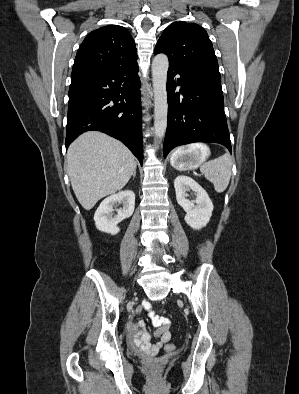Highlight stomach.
I'll list each match as a JSON object with an SVG mask.
<instances>
[{"instance_id": "0dacf381", "label": "stomach", "mask_w": 299, "mask_h": 394, "mask_svg": "<svg viewBox=\"0 0 299 394\" xmlns=\"http://www.w3.org/2000/svg\"><path fill=\"white\" fill-rule=\"evenodd\" d=\"M209 150L205 148H180L173 153L170 159L171 165L178 170H190L197 168L207 157Z\"/></svg>"}]
</instances>
